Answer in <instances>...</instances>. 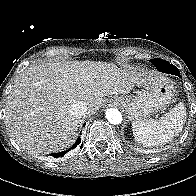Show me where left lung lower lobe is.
Masks as SVG:
<instances>
[{"label": "left lung lower lobe", "instance_id": "left-lung-lower-lobe-1", "mask_svg": "<svg viewBox=\"0 0 196 196\" xmlns=\"http://www.w3.org/2000/svg\"><path fill=\"white\" fill-rule=\"evenodd\" d=\"M177 76L181 77V76H180V73H179V74H177Z\"/></svg>", "mask_w": 196, "mask_h": 196}]
</instances>
